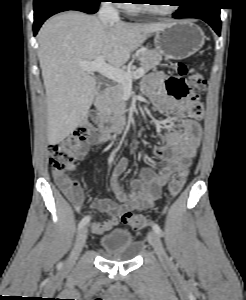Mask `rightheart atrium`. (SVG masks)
<instances>
[{
  "mask_svg": "<svg viewBox=\"0 0 246 300\" xmlns=\"http://www.w3.org/2000/svg\"><path fill=\"white\" fill-rule=\"evenodd\" d=\"M116 2H121V1H124V0H115Z\"/></svg>",
  "mask_w": 246,
  "mask_h": 300,
  "instance_id": "d8ad5b80",
  "label": "right heart atrium"
}]
</instances>
